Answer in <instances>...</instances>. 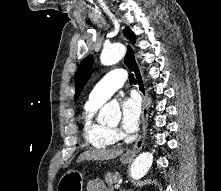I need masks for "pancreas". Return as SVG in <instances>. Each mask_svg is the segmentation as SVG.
<instances>
[{
  "instance_id": "1",
  "label": "pancreas",
  "mask_w": 221,
  "mask_h": 191,
  "mask_svg": "<svg viewBox=\"0 0 221 191\" xmlns=\"http://www.w3.org/2000/svg\"><path fill=\"white\" fill-rule=\"evenodd\" d=\"M119 180H120V175L118 173L115 174L107 173L105 175V182L109 186H114Z\"/></svg>"
}]
</instances>
